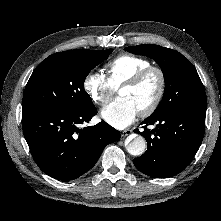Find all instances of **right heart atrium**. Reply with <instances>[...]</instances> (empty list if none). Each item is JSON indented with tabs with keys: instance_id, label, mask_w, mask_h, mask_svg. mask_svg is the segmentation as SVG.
<instances>
[{
	"instance_id": "obj_1",
	"label": "right heart atrium",
	"mask_w": 221,
	"mask_h": 221,
	"mask_svg": "<svg viewBox=\"0 0 221 221\" xmlns=\"http://www.w3.org/2000/svg\"><path fill=\"white\" fill-rule=\"evenodd\" d=\"M82 87L90 100L96 105H104L115 90L106 75L95 70L85 75Z\"/></svg>"
}]
</instances>
